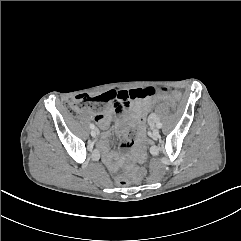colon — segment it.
Listing matches in <instances>:
<instances>
[{
  "instance_id": "1",
  "label": "colon",
  "mask_w": 241,
  "mask_h": 241,
  "mask_svg": "<svg viewBox=\"0 0 241 241\" xmlns=\"http://www.w3.org/2000/svg\"><path fill=\"white\" fill-rule=\"evenodd\" d=\"M137 93V90L133 88L126 91L112 90L109 93L97 96L81 94L67 102V110L71 115L77 116L84 110H101L106 104H113L116 106L117 112L123 116L129 100L135 99ZM160 104H167L171 110L177 109V102L174 98L163 96L152 100L150 105L143 109V113L145 115L152 113ZM118 183L124 185L126 182L124 179L119 178Z\"/></svg>"
}]
</instances>
